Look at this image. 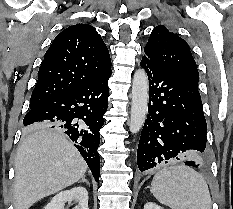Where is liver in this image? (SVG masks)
Masks as SVG:
<instances>
[{
    "mask_svg": "<svg viewBox=\"0 0 233 209\" xmlns=\"http://www.w3.org/2000/svg\"><path fill=\"white\" fill-rule=\"evenodd\" d=\"M21 142L15 160L14 207L34 203L79 181L87 164L66 135L37 127Z\"/></svg>",
    "mask_w": 233,
    "mask_h": 209,
    "instance_id": "1",
    "label": "liver"
}]
</instances>
